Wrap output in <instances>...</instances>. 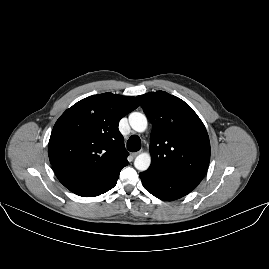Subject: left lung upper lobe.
<instances>
[{"label": "left lung upper lobe", "instance_id": "obj_1", "mask_svg": "<svg viewBox=\"0 0 269 269\" xmlns=\"http://www.w3.org/2000/svg\"><path fill=\"white\" fill-rule=\"evenodd\" d=\"M152 123L148 170L201 182L210 161V142L197 114L164 91L137 96Z\"/></svg>", "mask_w": 269, "mask_h": 269}]
</instances>
